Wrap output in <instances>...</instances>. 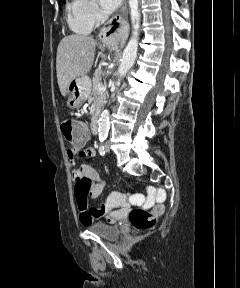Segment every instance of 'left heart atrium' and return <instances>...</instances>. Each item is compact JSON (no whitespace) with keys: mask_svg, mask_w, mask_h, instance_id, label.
Listing matches in <instances>:
<instances>
[{"mask_svg":"<svg viewBox=\"0 0 240 288\" xmlns=\"http://www.w3.org/2000/svg\"><path fill=\"white\" fill-rule=\"evenodd\" d=\"M121 1L122 0H99V3L106 13H111L120 5Z\"/></svg>","mask_w":240,"mask_h":288,"instance_id":"obj_1","label":"left heart atrium"}]
</instances>
